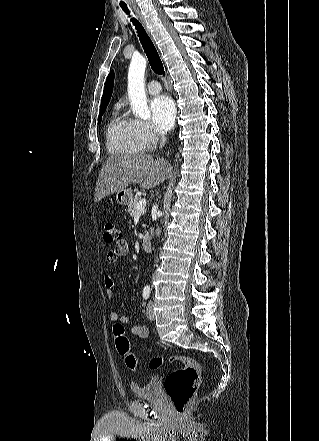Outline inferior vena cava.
Masks as SVG:
<instances>
[{
  "instance_id": "602c4592",
  "label": "inferior vena cava",
  "mask_w": 319,
  "mask_h": 441,
  "mask_svg": "<svg viewBox=\"0 0 319 441\" xmlns=\"http://www.w3.org/2000/svg\"><path fill=\"white\" fill-rule=\"evenodd\" d=\"M165 141H166L165 136H164V135H161V136H160V145H159V147H160L161 149H162V147L164 146Z\"/></svg>"
}]
</instances>
